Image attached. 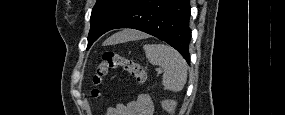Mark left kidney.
<instances>
[{
	"mask_svg": "<svg viewBox=\"0 0 285 115\" xmlns=\"http://www.w3.org/2000/svg\"><path fill=\"white\" fill-rule=\"evenodd\" d=\"M162 108L170 114H173L176 108V101L174 100H163L161 102Z\"/></svg>",
	"mask_w": 285,
	"mask_h": 115,
	"instance_id": "obj_1",
	"label": "left kidney"
}]
</instances>
